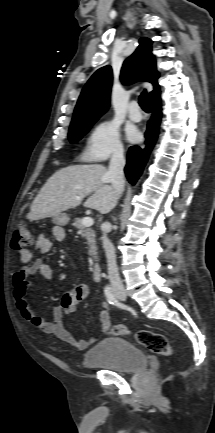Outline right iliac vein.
<instances>
[{
    "label": "right iliac vein",
    "mask_w": 215,
    "mask_h": 433,
    "mask_svg": "<svg viewBox=\"0 0 215 433\" xmlns=\"http://www.w3.org/2000/svg\"><path fill=\"white\" fill-rule=\"evenodd\" d=\"M118 296L121 298H125L127 296V294L125 292H119Z\"/></svg>",
    "instance_id": "63e3f726"
}]
</instances>
